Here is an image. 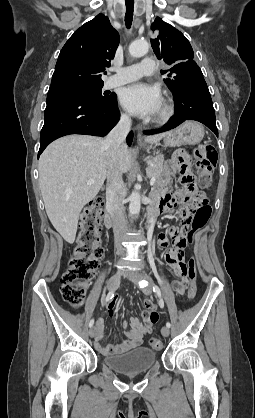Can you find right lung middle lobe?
<instances>
[{"label":"right lung middle lobe","mask_w":255,"mask_h":418,"mask_svg":"<svg viewBox=\"0 0 255 418\" xmlns=\"http://www.w3.org/2000/svg\"><path fill=\"white\" fill-rule=\"evenodd\" d=\"M103 82L100 83H69L63 85L52 86L49 88L48 93H59V92H71L86 94L95 98H99L103 101H108L112 98L113 94L107 95L102 94Z\"/></svg>","instance_id":"right-lung-middle-lobe-1"}]
</instances>
